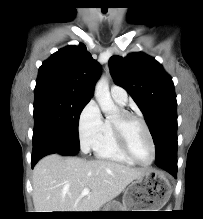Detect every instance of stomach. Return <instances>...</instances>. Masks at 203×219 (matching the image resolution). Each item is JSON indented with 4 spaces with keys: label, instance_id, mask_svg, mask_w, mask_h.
Instances as JSON below:
<instances>
[{
    "label": "stomach",
    "instance_id": "stomach-1",
    "mask_svg": "<svg viewBox=\"0 0 203 219\" xmlns=\"http://www.w3.org/2000/svg\"><path fill=\"white\" fill-rule=\"evenodd\" d=\"M170 195L171 187L167 178L157 170L148 169L131 182L124 193L122 204L110 202L103 211H159Z\"/></svg>",
    "mask_w": 203,
    "mask_h": 219
}]
</instances>
